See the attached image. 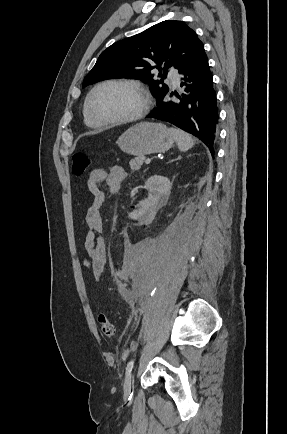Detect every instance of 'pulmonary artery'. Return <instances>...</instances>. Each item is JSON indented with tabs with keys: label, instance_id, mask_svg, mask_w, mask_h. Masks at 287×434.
<instances>
[{
	"label": "pulmonary artery",
	"instance_id": "e3ab8cb5",
	"mask_svg": "<svg viewBox=\"0 0 287 434\" xmlns=\"http://www.w3.org/2000/svg\"><path fill=\"white\" fill-rule=\"evenodd\" d=\"M168 78H169V81L171 82V84L174 87H178L179 86V75L176 72L170 71L168 73Z\"/></svg>",
	"mask_w": 287,
	"mask_h": 434
}]
</instances>
